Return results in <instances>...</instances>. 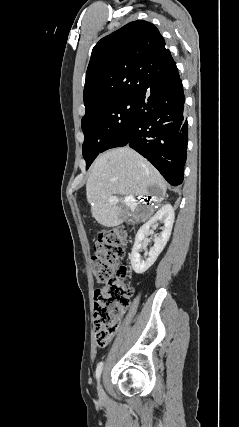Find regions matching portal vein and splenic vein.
Here are the masks:
<instances>
[{"instance_id":"portal-vein-and-splenic-vein-1","label":"portal vein and splenic vein","mask_w":239,"mask_h":427,"mask_svg":"<svg viewBox=\"0 0 239 427\" xmlns=\"http://www.w3.org/2000/svg\"><path fill=\"white\" fill-rule=\"evenodd\" d=\"M108 201H109L110 204H117L120 201H123L127 205H130V204H132L135 201V199L133 197H125V198H121L120 199L117 196H109L108 197Z\"/></svg>"}]
</instances>
